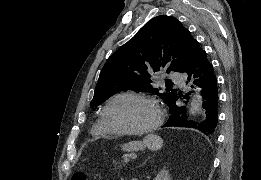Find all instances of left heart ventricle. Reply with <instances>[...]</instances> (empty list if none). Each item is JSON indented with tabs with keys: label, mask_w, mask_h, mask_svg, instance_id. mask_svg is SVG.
Here are the masks:
<instances>
[{
	"label": "left heart ventricle",
	"mask_w": 261,
	"mask_h": 180,
	"mask_svg": "<svg viewBox=\"0 0 261 180\" xmlns=\"http://www.w3.org/2000/svg\"><path fill=\"white\" fill-rule=\"evenodd\" d=\"M110 126L120 133H142L153 117L152 105L139 97L127 96L115 101L107 110Z\"/></svg>",
	"instance_id": "b2bd125f"
}]
</instances>
